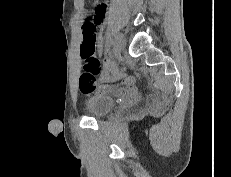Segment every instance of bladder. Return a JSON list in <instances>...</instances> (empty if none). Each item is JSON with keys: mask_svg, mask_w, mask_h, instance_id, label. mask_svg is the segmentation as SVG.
Returning <instances> with one entry per match:
<instances>
[{"mask_svg": "<svg viewBox=\"0 0 231 177\" xmlns=\"http://www.w3.org/2000/svg\"><path fill=\"white\" fill-rule=\"evenodd\" d=\"M114 106V99L104 94H94L85 102L87 113L91 117L100 118L107 115Z\"/></svg>", "mask_w": 231, "mask_h": 177, "instance_id": "obj_1", "label": "bladder"}]
</instances>
